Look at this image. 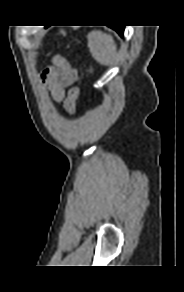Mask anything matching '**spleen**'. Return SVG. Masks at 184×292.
<instances>
[{"instance_id":"1","label":"spleen","mask_w":184,"mask_h":292,"mask_svg":"<svg viewBox=\"0 0 184 292\" xmlns=\"http://www.w3.org/2000/svg\"><path fill=\"white\" fill-rule=\"evenodd\" d=\"M88 47L93 58L105 66L112 63L117 53L113 37L101 31H93L88 34Z\"/></svg>"}]
</instances>
